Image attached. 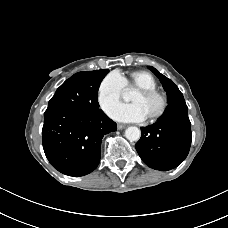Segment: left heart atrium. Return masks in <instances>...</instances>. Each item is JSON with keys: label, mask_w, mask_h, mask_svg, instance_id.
I'll list each match as a JSON object with an SVG mask.
<instances>
[{"label": "left heart atrium", "mask_w": 228, "mask_h": 228, "mask_svg": "<svg viewBox=\"0 0 228 228\" xmlns=\"http://www.w3.org/2000/svg\"><path fill=\"white\" fill-rule=\"evenodd\" d=\"M108 115L120 122H142L147 117L142 108L135 103H118L110 107Z\"/></svg>", "instance_id": "1"}]
</instances>
